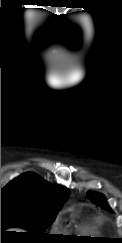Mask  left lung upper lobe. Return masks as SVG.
I'll return each mask as SVG.
<instances>
[{
	"instance_id": "obj_1",
	"label": "left lung upper lobe",
	"mask_w": 122,
	"mask_h": 243,
	"mask_svg": "<svg viewBox=\"0 0 122 243\" xmlns=\"http://www.w3.org/2000/svg\"><path fill=\"white\" fill-rule=\"evenodd\" d=\"M87 197L94 203L99 205L101 208L109 210L112 212L111 208L104 202V197L103 195L96 194V193H91L89 192L87 194Z\"/></svg>"
}]
</instances>
